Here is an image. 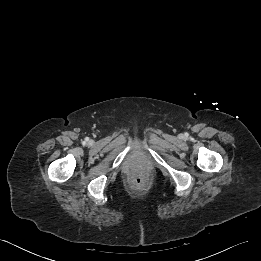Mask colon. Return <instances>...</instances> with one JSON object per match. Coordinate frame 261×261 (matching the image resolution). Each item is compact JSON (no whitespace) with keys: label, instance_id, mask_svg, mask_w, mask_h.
Here are the masks:
<instances>
[{"label":"colon","instance_id":"obj_1","mask_svg":"<svg viewBox=\"0 0 261 261\" xmlns=\"http://www.w3.org/2000/svg\"><path fill=\"white\" fill-rule=\"evenodd\" d=\"M134 181H135L136 183H142V182H143V176L140 175V174H136V175L134 176Z\"/></svg>","mask_w":261,"mask_h":261}]
</instances>
